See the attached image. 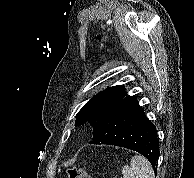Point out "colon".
Listing matches in <instances>:
<instances>
[{
    "label": "colon",
    "mask_w": 194,
    "mask_h": 178,
    "mask_svg": "<svg viewBox=\"0 0 194 178\" xmlns=\"http://www.w3.org/2000/svg\"><path fill=\"white\" fill-rule=\"evenodd\" d=\"M68 178H92L91 175L81 167H70L67 169Z\"/></svg>",
    "instance_id": "1"
}]
</instances>
